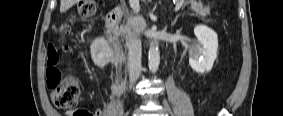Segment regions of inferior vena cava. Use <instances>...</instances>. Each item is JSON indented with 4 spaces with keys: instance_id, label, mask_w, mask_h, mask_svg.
<instances>
[{
    "instance_id": "obj_1",
    "label": "inferior vena cava",
    "mask_w": 283,
    "mask_h": 116,
    "mask_svg": "<svg viewBox=\"0 0 283 116\" xmlns=\"http://www.w3.org/2000/svg\"><path fill=\"white\" fill-rule=\"evenodd\" d=\"M129 78L134 83L141 74V40L138 35L129 33L127 38Z\"/></svg>"
}]
</instances>
